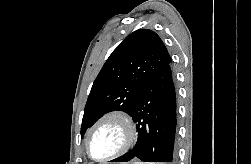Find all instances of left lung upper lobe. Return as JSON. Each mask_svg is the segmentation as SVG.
Returning a JSON list of instances; mask_svg holds the SVG:
<instances>
[{
  "instance_id": "obj_1",
  "label": "left lung upper lobe",
  "mask_w": 251,
  "mask_h": 164,
  "mask_svg": "<svg viewBox=\"0 0 251 164\" xmlns=\"http://www.w3.org/2000/svg\"><path fill=\"white\" fill-rule=\"evenodd\" d=\"M170 62L164 43L154 31L139 29L131 33L111 53L93 83L81 135L108 111L121 110L131 115L144 87Z\"/></svg>"
}]
</instances>
